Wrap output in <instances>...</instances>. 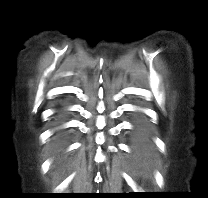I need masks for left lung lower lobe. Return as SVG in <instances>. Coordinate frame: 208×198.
<instances>
[{"instance_id":"left-lung-lower-lobe-1","label":"left lung lower lobe","mask_w":208,"mask_h":198,"mask_svg":"<svg viewBox=\"0 0 208 198\" xmlns=\"http://www.w3.org/2000/svg\"><path fill=\"white\" fill-rule=\"evenodd\" d=\"M133 149L137 154L147 152L150 146L148 133L142 124H137L132 137Z\"/></svg>"}]
</instances>
